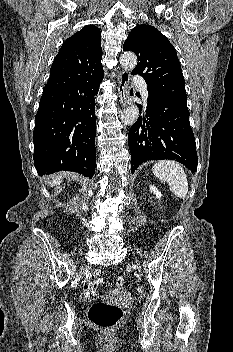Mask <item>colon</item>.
<instances>
[{"instance_id": "1", "label": "colon", "mask_w": 233, "mask_h": 352, "mask_svg": "<svg viewBox=\"0 0 233 352\" xmlns=\"http://www.w3.org/2000/svg\"><path fill=\"white\" fill-rule=\"evenodd\" d=\"M100 281L99 273H94L89 276L84 282L85 295L95 297L98 292ZM117 283L122 285L123 280L118 279ZM122 316L123 310L120 306L103 300L94 301L88 312V317L91 323L103 330L114 328L120 322Z\"/></svg>"}]
</instances>
